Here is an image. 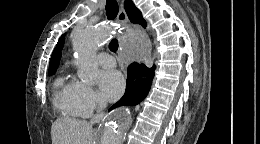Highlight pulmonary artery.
Here are the masks:
<instances>
[{
	"instance_id": "1",
	"label": "pulmonary artery",
	"mask_w": 260,
	"mask_h": 144,
	"mask_svg": "<svg viewBox=\"0 0 260 144\" xmlns=\"http://www.w3.org/2000/svg\"><path fill=\"white\" fill-rule=\"evenodd\" d=\"M98 61L103 68L111 69L116 66V61L112 55L103 52L98 55Z\"/></svg>"
}]
</instances>
